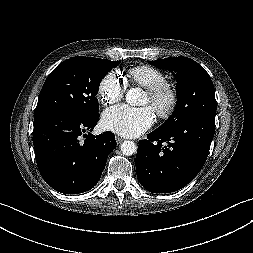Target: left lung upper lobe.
I'll use <instances>...</instances> for the list:
<instances>
[{
  "label": "left lung upper lobe",
  "mask_w": 253,
  "mask_h": 253,
  "mask_svg": "<svg viewBox=\"0 0 253 253\" xmlns=\"http://www.w3.org/2000/svg\"><path fill=\"white\" fill-rule=\"evenodd\" d=\"M154 66L169 70L176 77L177 104L173 114L159 128L175 129L197 116L215 117V90L209 74L194 60L179 56L150 61Z\"/></svg>",
  "instance_id": "1"
}]
</instances>
